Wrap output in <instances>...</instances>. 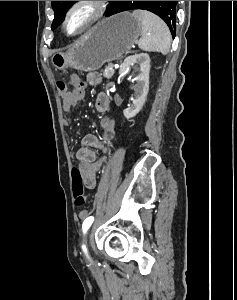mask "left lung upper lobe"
Segmentation results:
<instances>
[{
    "instance_id": "obj_1",
    "label": "left lung upper lobe",
    "mask_w": 237,
    "mask_h": 300,
    "mask_svg": "<svg viewBox=\"0 0 237 300\" xmlns=\"http://www.w3.org/2000/svg\"><path fill=\"white\" fill-rule=\"evenodd\" d=\"M75 1H52V8L54 10V20L52 23V29L60 25L64 19L65 13L68 8ZM178 1H109V10L116 5L114 11L117 13L133 10L143 9L155 13L161 17L168 25L171 34H175V21H176V4Z\"/></svg>"
}]
</instances>
